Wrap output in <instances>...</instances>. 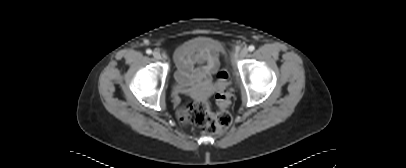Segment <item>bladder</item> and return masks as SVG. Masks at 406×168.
<instances>
[{"label":"bladder","mask_w":406,"mask_h":168,"mask_svg":"<svg viewBox=\"0 0 406 168\" xmlns=\"http://www.w3.org/2000/svg\"><path fill=\"white\" fill-rule=\"evenodd\" d=\"M214 44H215V42L209 38L197 37V38H193V39L188 40L185 43H183L179 47V50L185 51V50H189V49H193V48H197V47H209Z\"/></svg>","instance_id":"obj_1"}]
</instances>
